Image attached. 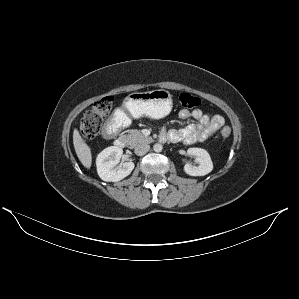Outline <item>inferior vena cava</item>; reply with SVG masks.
<instances>
[{"mask_svg": "<svg viewBox=\"0 0 299 299\" xmlns=\"http://www.w3.org/2000/svg\"><path fill=\"white\" fill-rule=\"evenodd\" d=\"M149 149H150V145L143 143V144L137 145L135 147L134 152L136 155L142 156V155L146 154L149 151Z\"/></svg>", "mask_w": 299, "mask_h": 299, "instance_id": "1", "label": "inferior vena cava"}]
</instances>
